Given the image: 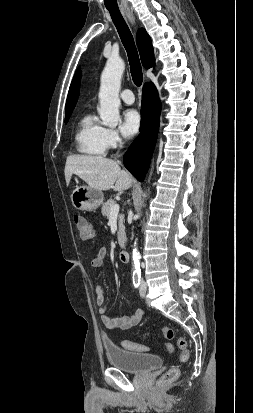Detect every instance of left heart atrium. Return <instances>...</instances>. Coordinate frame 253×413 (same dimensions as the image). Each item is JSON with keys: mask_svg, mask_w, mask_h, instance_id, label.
<instances>
[{"mask_svg": "<svg viewBox=\"0 0 253 413\" xmlns=\"http://www.w3.org/2000/svg\"><path fill=\"white\" fill-rule=\"evenodd\" d=\"M141 126V117L135 109H127L122 115L120 131L126 138L136 135Z\"/></svg>", "mask_w": 253, "mask_h": 413, "instance_id": "39dd6f15", "label": "left heart atrium"}]
</instances>
